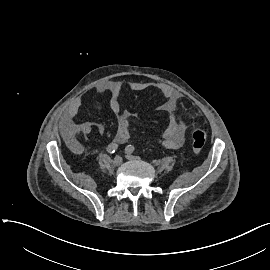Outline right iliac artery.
<instances>
[{"instance_id":"1","label":"right iliac artery","mask_w":270,"mask_h":270,"mask_svg":"<svg viewBox=\"0 0 270 270\" xmlns=\"http://www.w3.org/2000/svg\"><path fill=\"white\" fill-rule=\"evenodd\" d=\"M118 149V145L116 143H111L107 146V152L112 154Z\"/></svg>"}]
</instances>
